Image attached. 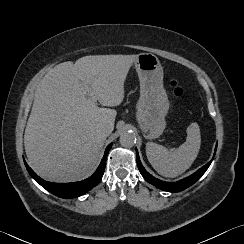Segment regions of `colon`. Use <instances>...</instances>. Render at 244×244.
<instances>
[{
    "label": "colon",
    "instance_id": "1",
    "mask_svg": "<svg viewBox=\"0 0 244 244\" xmlns=\"http://www.w3.org/2000/svg\"><path fill=\"white\" fill-rule=\"evenodd\" d=\"M170 87L176 98H183L185 96V89L177 81H172Z\"/></svg>",
    "mask_w": 244,
    "mask_h": 244
}]
</instances>
